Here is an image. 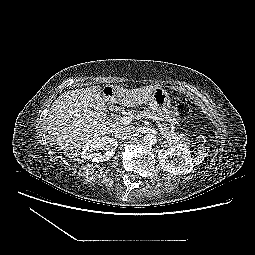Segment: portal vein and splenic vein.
Returning <instances> with one entry per match:
<instances>
[{
  "label": "portal vein and splenic vein",
  "mask_w": 255,
  "mask_h": 255,
  "mask_svg": "<svg viewBox=\"0 0 255 255\" xmlns=\"http://www.w3.org/2000/svg\"><path fill=\"white\" fill-rule=\"evenodd\" d=\"M119 121L122 123V124H129L133 121V117H130V116H124V117H120L119 118ZM158 127L160 129V132L163 133V128L160 126V124H158Z\"/></svg>",
  "instance_id": "obj_1"
}]
</instances>
